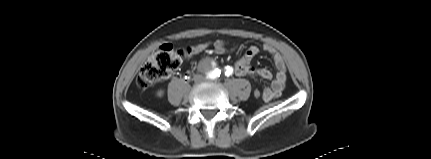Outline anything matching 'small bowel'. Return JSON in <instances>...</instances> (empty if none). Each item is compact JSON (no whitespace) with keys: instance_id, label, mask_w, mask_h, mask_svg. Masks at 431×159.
<instances>
[{"instance_id":"1","label":"small bowel","mask_w":431,"mask_h":159,"mask_svg":"<svg viewBox=\"0 0 431 159\" xmlns=\"http://www.w3.org/2000/svg\"><path fill=\"white\" fill-rule=\"evenodd\" d=\"M208 47V43H200L191 46L187 49V57L191 58L192 56L200 54L207 50ZM212 48L230 49L227 42L224 40L214 41ZM262 49L273 58L277 69L275 76L266 68H254L251 66L252 59L259 53V48L257 46H250L247 48L242 57L239 58L230 69L232 73L238 76H257L266 80H272L271 86L262 90L263 96L261 97L263 101L269 102L279 97L283 92L287 79V70L283 57L272 45L264 44Z\"/></svg>"}]
</instances>
